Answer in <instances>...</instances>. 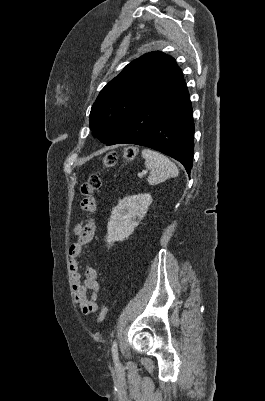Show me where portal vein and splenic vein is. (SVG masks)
<instances>
[{
	"label": "portal vein and splenic vein",
	"mask_w": 265,
	"mask_h": 401,
	"mask_svg": "<svg viewBox=\"0 0 265 401\" xmlns=\"http://www.w3.org/2000/svg\"><path fill=\"white\" fill-rule=\"evenodd\" d=\"M147 170H142V172H138L137 178L141 179L144 174H146Z\"/></svg>",
	"instance_id": "1"
}]
</instances>
